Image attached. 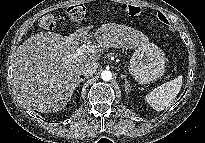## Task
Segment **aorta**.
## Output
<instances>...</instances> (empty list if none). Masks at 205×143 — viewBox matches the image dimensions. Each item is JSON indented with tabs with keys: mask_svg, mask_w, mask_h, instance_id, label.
Wrapping results in <instances>:
<instances>
[{
	"mask_svg": "<svg viewBox=\"0 0 205 143\" xmlns=\"http://www.w3.org/2000/svg\"><path fill=\"white\" fill-rule=\"evenodd\" d=\"M101 78L102 80L104 81H109L112 79V73L111 71H108V70H104L101 72Z\"/></svg>",
	"mask_w": 205,
	"mask_h": 143,
	"instance_id": "1",
	"label": "aorta"
}]
</instances>
